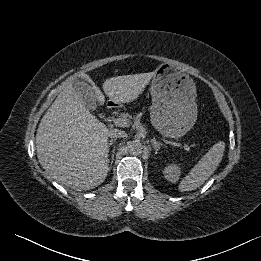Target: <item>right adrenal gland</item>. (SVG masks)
Wrapping results in <instances>:
<instances>
[{"label":"right adrenal gland","instance_id":"right-adrenal-gland-1","mask_svg":"<svg viewBox=\"0 0 261 261\" xmlns=\"http://www.w3.org/2000/svg\"><path fill=\"white\" fill-rule=\"evenodd\" d=\"M115 141H116V139H112V140L109 141L108 146H107L108 152H109L110 146H112ZM113 160H114V150L112 151V159H111V164H110V166L112 165ZM108 161H109V160H108Z\"/></svg>","mask_w":261,"mask_h":261}]
</instances>
